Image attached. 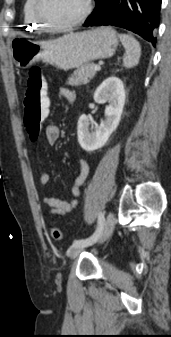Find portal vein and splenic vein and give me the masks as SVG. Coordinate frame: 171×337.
I'll return each instance as SVG.
<instances>
[{
	"mask_svg": "<svg viewBox=\"0 0 171 337\" xmlns=\"http://www.w3.org/2000/svg\"><path fill=\"white\" fill-rule=\"evenodd\" d=\"M100 69H101V67H100L99 65H96V66L94 67V70H95V71H100Z\"/></svg>",
	"mask_w": 171,
	"mask_h": 337,
	"instance_id": "obj_1",
	"label": "portal vein and splenic vein"
}]
</instances>
